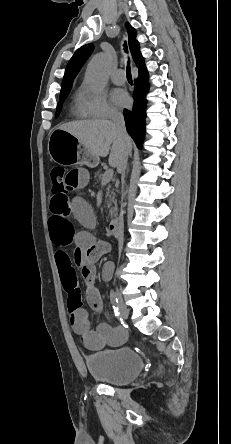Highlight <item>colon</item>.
<instances>
[{
  "label": "colon",
  "instance_id": "1",
  "mask_svg": "<svg viewBox=\"0 0 231 444\" xmlns=\"http://www.w3.org/2000/svg\"><path fill=\"white\" fill-rule=\"evenodd\" d=\"M66 174L65 169L60 166L54 167L51 170V192L53 198L67 197L69 189L66 185Z\"/></svg>",
  "mask_w": 231,
  "mask_h": 444
}]
</instances>
